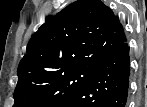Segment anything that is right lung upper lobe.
<instances>
[{"label": "right lung upper lobe", "mask_w": 147, "mask_h": 107, "mask_svg": "<svg viewBox=\"0 0 147 107\" xmlns=\"http://www.w3.org/2000/svg\"><path fill=\"white\" fill-rule=\"evenodd\" d=\"M125 41L123 26L108 6L100 0H78L47 18L32 35L18 75L98 67Z\"/></svg>", "instance_id": "obj_1"}]
</instances>
